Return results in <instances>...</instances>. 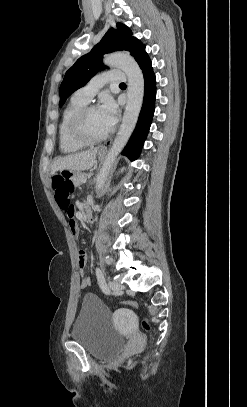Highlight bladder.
<instances>
[{"label": "bladder", "instance_id": "bladder-1", "mask_svg": "<svg viewBox=\"0 0 247 407\" xmlns=\"http://www.w3.org/2000/svg\"><path fill=\"white\" fill-rule=\"evenodd\" d=\"M112 312L95 295L86 294L72 328V340L98 359L117 355L125 345V336L112 322Z\"/></svg>", "mask_w": 247, "mask_h": 407}]
</instances>
